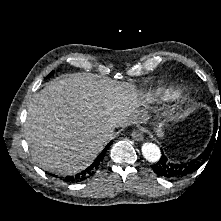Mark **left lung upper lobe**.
Returning <instances> with one entry per match:
<instances>
[{"instance_id":"5c2ea615","label":"left lung upper lobe","mask_w":221,"mask_h":221,"mask_svg":"<svg viewBox=\"0 0 221 221\" xmlns=\"http://www.w3.org/2000/svg\"><path fill=\"white\" fill-rule=\"evenodd\" d=\"M217 124V118L215 119V125ZM215 129V128H214ZM211 141H213V137H212V140Z\"/></svg>"}]
</instances>
